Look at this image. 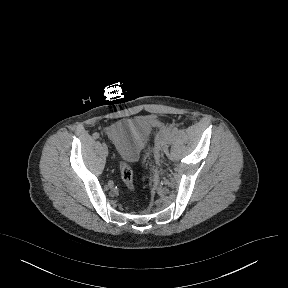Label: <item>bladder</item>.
<instances>
[{"instance_id":"31cf9c89","label":"bladder","mask_w":288,"mask_h":288,"mask_svg":"<svg viewBox=\"0 0 288 288\" xmlns=\"http://www.w3.org/2000/svg\"><path fill=\"white\" fill-rule=\"evenodd\" d=\"M151 132L149 119L138 117L112 125L107 130L118 154L127 161H135Z\"/></svg>"}]
</instances>
